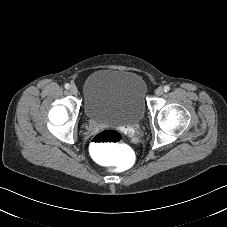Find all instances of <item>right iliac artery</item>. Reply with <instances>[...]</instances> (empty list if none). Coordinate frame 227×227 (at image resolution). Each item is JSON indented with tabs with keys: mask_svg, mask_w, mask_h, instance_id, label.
<instances>
[{
	"mask_svg": "<svg viewBox=\"0 0 227 227\" xmlns=\"http://www.w3.org/2000/svg\"><path fill=\"white\" fill-rule=\"evenodd\" d=\"M64 87H65L66 89H69V88H70V85H69L68 83H66V84L64 85Z\"/></svg>",
	"mask_w": 227,
	"mask_h": 227,
	"instance_id": "obj_1",
	"label": "right iliac artery"
}]
</instances>
